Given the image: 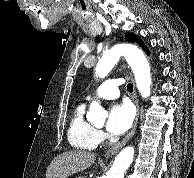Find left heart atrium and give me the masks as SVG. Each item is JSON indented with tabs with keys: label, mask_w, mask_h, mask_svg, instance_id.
Masks as SVG:
<instances>
[{
	"label": "left heart atrium",
	"mask_w": 194,
	"mask_h": 178,
	"mask_svg": "<svg viewBox=\"0 0 194 178\" xmlns=\"http://www.w3.org/2000/svg\"><path fill=\"white\" fill-rule=\"evenodd\" d=\"M134 112L128 103L115 104L109 111L106 128L113 135H121L132 125Z\"/></svg>",
	"instance_id": "39dd6f15"
}]
</instances>
